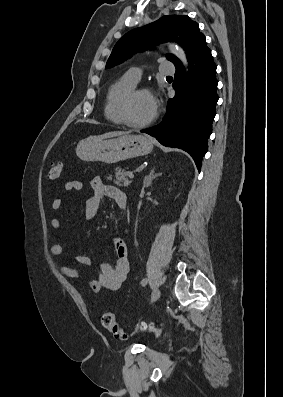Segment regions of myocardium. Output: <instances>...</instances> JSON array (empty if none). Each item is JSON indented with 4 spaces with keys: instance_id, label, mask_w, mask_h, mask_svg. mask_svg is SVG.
<instances>
[{
    "instance_id": "obj_1",
    "label": "myocardium",
    "mask_w": 283,
    "mask_h": 397,
    "mask_svg": "<svg viewBox=\"0 0 283 397\" xmlns=\"http://www.w3.org/2000/svg\"><path fill=\"white\" fill-rule=\"evenodd\" d=\"M140 93L148 94L154 100V97H153V95H152V93L150 92L149 89H147L145 87L135 86L132 89H130L129 91H127L121 97V99H120V101L118 103V115H119V118L121 120V123L126 125V126H128V127H130V128H143V127H146V126L150 125L152 122H154V120L157 117V109L155 107V111H154L153 115L149 119H147V120H145L143 122L136 123V122H133V121H131L129 119V117H128L129 104L132 101V99L136 95H138Z\"/></svg>"
}]
</instances>
